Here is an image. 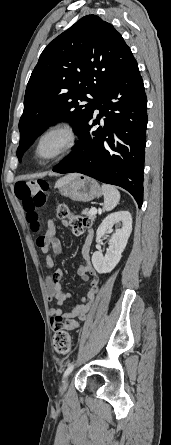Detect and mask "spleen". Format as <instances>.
<instances>
[{
	"label": "spleen",
	"mask_w": 171,
	"mask_h": 445,
	"mask_svg": "<svg viewBox=\"0 0 171 445\" xmlns=\"http://www.w3.org/2000/svg\"><path fill=\"white\" fill-rule=\"evenodd\" d=\"M102 192L104 196V210H113L118 205L120 200L119 191L114 186L103 184Z\"/></svg>",
	"instance_id": "3e777b00"
}]
</instances>
